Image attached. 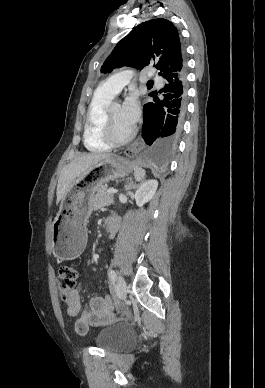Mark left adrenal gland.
Returning a JSON list of instances; mask_svg holds the SVG:
<instances>
[{
    "label": "left adrenal gland",
    "instance_id": "a2214340",
    "mask_svg": "<svg viewBox=\"0 0 265 388\" xmlns=\"http://www.w3.org/2000/svg\"><path fill=\"white\" fill-rule=\"evenodd\" d=\"M127 182L128 184L127 186H125L126 190H132V188H138L137 184H134V182H132V178H128Z\"/></svg>",
    "mask_w": 265,
    "mask_h": 388
}]
</instances>
